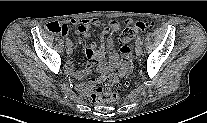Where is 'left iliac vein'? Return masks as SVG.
Wrapping results in <instances>:
<instances>
[{
	"instance_id": "obj_1",
	"label": "left iliac vein",
	"mask_w": 207,
	"mask_h": 123,
	"mask_svg": "<svg viewBox=\"0 0 207 123\" xmlns=\"http://www.w3.org/2000/svg\"><path fill=\"white\" fill-rule=\"evenodd\" d=\"M135 51L138 56H140L142 54V44L141 43H136Z\"/></svg>"
}]
</instances>
